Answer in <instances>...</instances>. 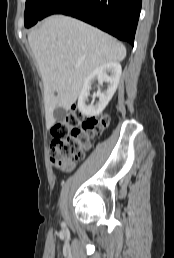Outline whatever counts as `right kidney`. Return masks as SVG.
I'll return each instance as SVG.
<instances>
[{"label":"right kidney","instance_id":"obj_1","mask_svg":"<svg viewBox=\"0 0 174 258\" xmlns=\"http://www.w3.org/2000/svg\"><path fill=\"white\" fill-rule=\"evenodd\" d=\"M121 72L122 69L119 62H110L98 67L86 77L78 98V109L82 115L87 117L96 116L105 109L117 89ZM94 80H98L100 85L103 82L107 83V89L101 92L100 87H98L96 93L98 101L95 103L93 99L87 105L86 101L90 95L91 85Z\"/></svg>","mask_w":174,"mask_h":258}]
</instances>
